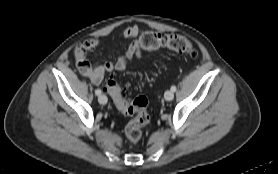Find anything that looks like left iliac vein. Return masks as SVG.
<instances>
[{
    "label": "left iliac vein",
    "mask_w": 278,
    "mask_h": 174,
    "mask_svg": "<svg viewBox=\"0 0 278 174\" xmlns=\"http://www.w3.org/2000/svg\"><path fill=\"white\" fill-rule=\"evenodd\" d=\"M164 98H165V100H167V101L173 100V98H174V93H173V91L167 90V91L165 92V94H164Z\"/></svg>",
    "instance_id": "left-iliac-vein-1"
}]
</instances>
